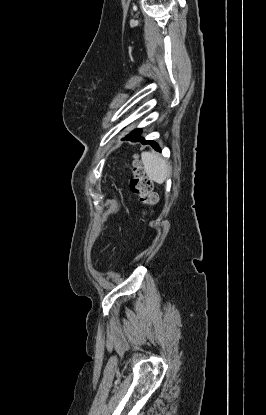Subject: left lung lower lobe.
<instances>
[{
	"mask_svg": "<svg viewBox=\"0 0 266 415\" xmlns=\"http://www.w3.org/2000/svg\"><path fill=\"white\" fill-rule=\"evenodd\" d=\"M125 139L126 140H130V141H134V142L135 141H142L143 144H150V145H152L153 148H155V150L160 151V147L158 146V144L156 142H154V141H146V140H144V138L140 137V135L139 136H136V137H127Z\"/></svg>",
	"mask_w": 266,
	"mask_h": 415,
	"instance_id": "0a47b994",
	"label": "left lung lower lobe"
}]
</instances>
